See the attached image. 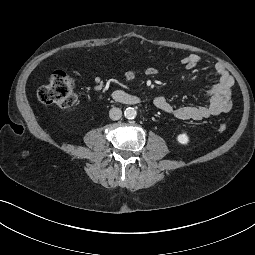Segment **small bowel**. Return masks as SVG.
<instances>
[{
	"label": "small bowel",
	"instance_id": "c3829d8e",
	"mask_svg": "<svg viewBox=\"0 0 255 255\" xmlns=\"http://www.w3.org/2000/svg\"><path fill=\"white\" fill-rule=\"evenodd\" d=\"M181 65L186 69H194L200 63V57L191 53L181 59ZM214 70L219 78L218 82L206 92L207 104L197 106H173L165 97L157 96L153 103L156 108L180 120H202L211 116L228 113L232 109V90L234 79L222 63H216ZM157 68L147 67L142 71L126 72L120 81H132L139 75L154 76Z\"/></svg>",
	"mask_w": 255,
	"mask_h": 255
}]
</instances>
